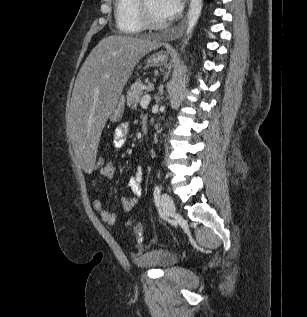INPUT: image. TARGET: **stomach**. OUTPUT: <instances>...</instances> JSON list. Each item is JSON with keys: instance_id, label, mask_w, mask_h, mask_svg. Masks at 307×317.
Segmentation results:
<instances>
[{"instance_id": "0dacf381", "label": "stomach", "mask_w": 307, "mask_h": 317, "mask_svg": "<svg viewBox=\"0 0 307 317\" xmlns=\"http://www.w3.org/2000/svg\"><path fill=\"white\" fill-rule=\"evenodd\" d=\"M168 60V55L165 53H156L150 56L147 60V64L150 66H161L164 65ZM125 105L124 96L120 95L115 102L114 109L110 114V119L112 122L119 121L123 116Z\"/></svg>"}]
</instances>
